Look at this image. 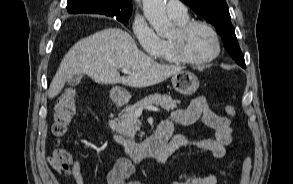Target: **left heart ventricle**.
<instances>
[{
  "instance_id": "left-heart-ventricle-1",
  "label": "left heart ventricle",
  "mask_w": 293,
  "mask_h": 184,
  "mask_svg": "<svg viewBox=\"0 0 293 184\" xmlns=\"http://www.w3.org/2000/svg\"><path fill=\"white\" fill-rule=\"evenodd\" d=\"M174 35L175 32L172 36ZM183 46L188 57L202 59L210 56L215 51V40L208 29L198 26L187 34Z\"/></svg>"
}]
</instances>
